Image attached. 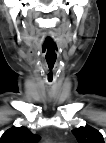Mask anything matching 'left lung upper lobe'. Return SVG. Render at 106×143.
Listing matches in <instances>:
<instances>
[{"label":"left lung upper lobe","instance_id":"left-lung-upper-lobe-1","mask_svg":"<svg viewBox=\"0 0 106 143\" xmlns=\"http://www.w3.org/2000/svg\"><path fill=\"white\" fill-rule=\"evenodd\" d=\"M79 143H104L102 134L90 127H79L72 130Z\"/></svg>","mask_w":106,"mask_h":143}]
</instances>
